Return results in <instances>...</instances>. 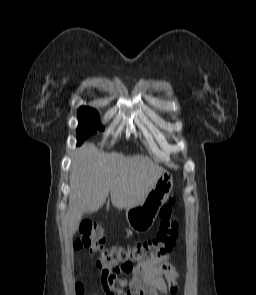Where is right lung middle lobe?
<instances>
[{
	"instance_id": "1",
	"label": "right lung middle lobe",
	"mask_w": 256,
	"mask_h": 295,
	"mask_svg": "<svg viewBox=\"0 0 256 295\" xmlns=\"http://www.w3.org/2000/svg\"><path fill=\"white\" fill-rule=\"evenodd\" d=\"M79 126L77 128V141L81 144L85 138L96 133V130H104L100 124L99 114L89 107H81L78 110Z\"/></svg>"
}]
</instances>
